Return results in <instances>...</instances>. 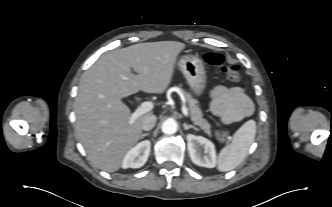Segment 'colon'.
<instances>
[{
	"label": "colon",
	"instance_id": "colon-1",
	"mask_svg": "<svg viewBox=\"0 0 332 207\" xmlns=\"http://www.w3.org/2000/svg\"><path fill=\"white\" fill-rule=\"evenodd\" d=\"M203 58L208 64L220 67L230 81L235 82L240 79L239 66L226 63L222 54L208 52L204 54ZM216 136L220 141H226L228 133L225 130H218Z\"/></svg>",
	"mask_w": 332,
	"mask_h": 207
}]
</instances>
